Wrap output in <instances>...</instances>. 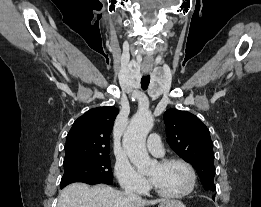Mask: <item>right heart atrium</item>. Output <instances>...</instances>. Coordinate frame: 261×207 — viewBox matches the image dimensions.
<instances>
[{"label":"right heart atrium","mask_w":261,"mask_h":207,"mask_svg":"<svg viewBox=\"0 0 261 207\" xmlns=\"http://www.w3.org/2000/svg\"><path fill=\"white\" fill-rule=\"evenodd\" d=\"M114 172L123 189L136 193H142L147 189V181L129 161L117 160Z\"/></svg>","instance_id":"obj_1"}]
</instances>
